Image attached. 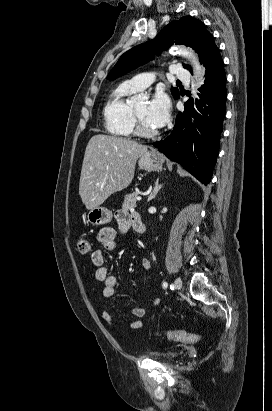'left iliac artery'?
<instances>
[{"label":"left iliac artery","instance_id":"left-iliac-artery-1","mask_svg":"<svg viewBox=\"0 0 272 411\" xmlns=\"http://www.w3.org/2000/svg\"><path fill=\"white\" fill-rule=\"evenodd\" d=\"M167 286H168L167 282H163V287L167 288Z\"/></svg>","mask_w":272,"mask_h":411}]
</instances>
